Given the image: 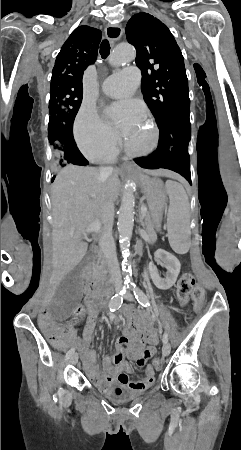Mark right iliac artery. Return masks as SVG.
<instances>
[{"label":"right iliac artery","instance_id":"1","mask_svg":"<svg viewBox=\"0 0 241 450\" xmlns=\"http://www.w3.org/2000/svg\"><path fill=\"white\" fill-rule=\"evenodd\" d=\"M127 288L128 287H123V289L119 293L115 294L111 298L110 303H109V308H110L111 312H114L115 310L120 308V306L123 302V296L126 293ZM74 352H75L74 348H71L67 352L66 357L69 359L74 354ZM63 393H64V390L62 388H59L58 394L62 395Z\"/></svg>","mask_w":241,"mask_h":450}]
</instances>
